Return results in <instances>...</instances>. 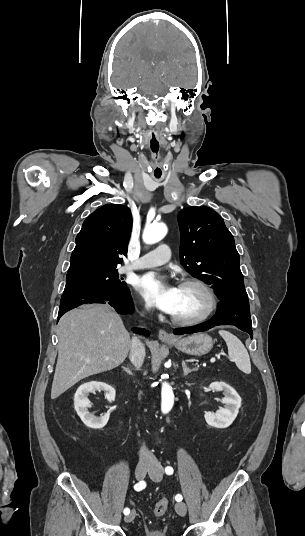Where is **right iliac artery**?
I'll list each match as a JSON object with an SVG mask.
<instances>
[{
	"label": "right iliac artery",
	"instance_id": "obj_1",
	"mask_svg": "<svg viewBox=\"0 0 305 536\" xmlns=\"http://www.w3.org/2000/svg\"><path fill=\"white\" fill-rule=\"evenodd\" d=\"M145 486H146V485H145V482L140 481L139 483L135 484L134 489H135L136 491H141L142 489L145 488ZM123 513H124L125 515H128V514L130 513V509H129V508H125L124 511H123Z\"/></svg>",
	"mask_w": 305,
	"mask_h": 536
}]
</instances>
